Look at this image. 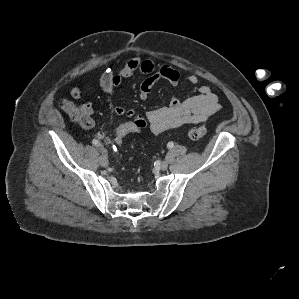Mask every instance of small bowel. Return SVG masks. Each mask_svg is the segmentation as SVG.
<instances>
[{
	"label": "small bowel",
	"mask_w": 299,
	"mask_h": 299,
	"mask_svg": "<svg viewBox=\"0 0 299 299\" xmlns=\"http://www.w3.org/2000/svg\"><path fill=\"white\" fill-rule=\"evenodd\" d=\"M136 73L146 76L140 85L139 93V97L143 101L148 98L152 88L159 80H166L173 85H177L180 80V74L167 64L157 67L150 60L132 57L116 72L103 74L100 78V88L106 95L111 96L116 86H119L124 80ZM187 82L191 85H196L198 77L192 74L187 78ZM70 95L73 99H80L81 91L75 87L70 91ZM82 106L89 115L93 114V107L90 103H85ZM220 108L217 95L212 92L209 86L203 85L197 89L195 95L185 98L175 96L167 106L149 110L144 115L133 109H126L123 106H115L113 114L116 116L125 115L129 119L140 122L144 128L148 126L154 134H160L183 125L203 122L217 113ZM94 126L95 122L92 121L87 128ZM97 137L104 140L106 144L112 143L111 139L102 131L97 133Z\"/></svg>",
	"instance_id": "1"
}]
</instances>
